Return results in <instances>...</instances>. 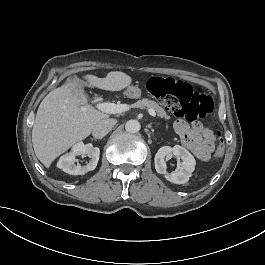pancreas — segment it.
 <instances>
[{
  "instance_id": "cf45deb5",
  "label": "pancreas",
  "mask_w": 265,
  "mask_h": 265,
  "mask_svg": "<svg viewBox=\"0 0 265 265\" xmlns=\"http://www.w3.org/2000/svg\"><path fill=\"white\" fill-rule=\"evenodd\" d=\"M132 107L134 108H140V109H153L157 115L161 118H167L169 117L166 112L164 111V109L159 106V104L153 100H149L147 98H143L142 100H138L136 103H134L132 105Z\"/></svg>"
}]
</instances>
